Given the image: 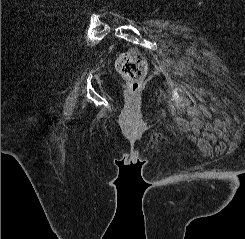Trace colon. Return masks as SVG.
Listing matches in <instances>:
<instances>
[{
    "label": "colon",
    "instance_id": "1",
    "mask_svg": "<svg viewBox=\"0 0 245 239\" xmlns=\"http://www.w3.org/2000/svg\"><path fill=\"white\" fill-rule=\"evenodd\" d=\"M115 67L125 79L131 94L142 86L147 72V62L137 49L122 53L116 60Z\"/></svg>",
    "mask_w": 245,
    "mask_h": 239
}]
</instances>
